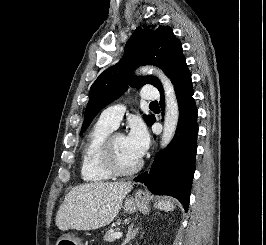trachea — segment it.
Instances as JSON below:
<instances>
[{"label":"trachea","instance_id":"1","mask_svg":"<svg viewBox=\"0 0 266 245\" xmlns=\"http://www.w3.org/2000/svg\"><path fill=\"white\" fill-rule=\"evenodd\" d=\"M156 104H158V102H157V101H155V102H151V104H150V105H156Z\"/></svg>","mask_w":266,"mask_h":245}]
</instances>
